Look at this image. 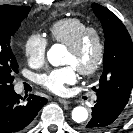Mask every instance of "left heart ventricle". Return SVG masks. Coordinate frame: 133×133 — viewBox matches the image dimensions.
<instances>
[{
  "instance_id": "1",
  "label": "left heart ventricle",
  "mask_w": 133,
  "mask_h": 133,
  "mask_svg": "<svg viewBox=\"0 0 133 133\" xmlns=\"http://www.w3.org/2000/svg\"><path fill=\"white\" fill-rule=\"evenodd\" d=\"M96 53L97 44L94 37L91 36L79 52L73 53L67 50L65 63L73 65L76 69L87 68L94 62Z\"/></svg>"
}]
</instances>
